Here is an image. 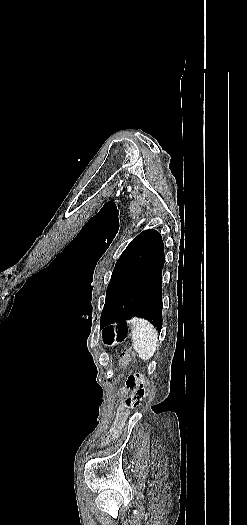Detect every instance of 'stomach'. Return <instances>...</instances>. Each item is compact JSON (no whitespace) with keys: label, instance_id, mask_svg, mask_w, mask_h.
I'll return each instance as SVG.
<instances>
[{"label":"stomach","instance_id":"stomach-1","mask_svg":"<svg viewBox=\"0 0 247 525\" xmlns=\"http://www.w3.org/2000/svg\"><path fill=\"white\" fill-rule=\"evenodd\" d=\"M131 330L130 322L106 327L102 332L103 343L112 345L114 342H121L130 335Z\"/></svg>","mask_w":247,"mask_h":525}]
</instances>
